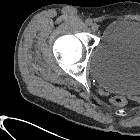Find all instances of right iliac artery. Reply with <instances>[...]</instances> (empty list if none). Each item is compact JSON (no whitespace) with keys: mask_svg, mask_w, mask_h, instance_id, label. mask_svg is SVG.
I'll return each instance as SVG.
<instances>
[{"mask_svg":"<svg viewBox=\"0 0 140 140\" xmlns=\"http://www.w3.org/2000/svg\"><path fill=\"white\" fill-rule=\"evenodd\" d=\"M85 23H86L87 25H91V24H92V20H91V19H86Z\"/></svg>","mask_w":140,"mask_h":140,"instance_id":"right-iliac-artery-1","label":"right iliac artery"}]
</instances>
